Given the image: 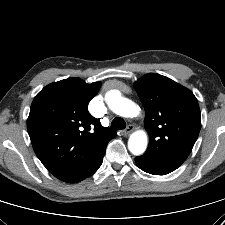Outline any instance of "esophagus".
Instances as JSON below:
<instances>
[{"mask_svg":"<svg viewBox=\"0 0 225 225\" xmlns=\"http://www.w3.org/2000/svg\"><path fill=\"white\" fill-rule=\"evenodd\" d=\"M134 129L135 127L132 124L128 125L127 128L125 129V134H130L131 132L134 131Z\"/></svg>","mask_w":225,"mask_h":225,"instance_id":"esophagus-1","label":"esophagus"}]
</instances>
